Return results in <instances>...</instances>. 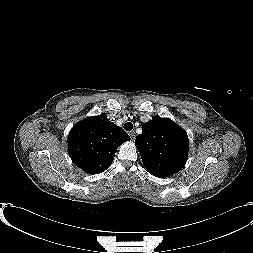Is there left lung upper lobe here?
<instances>
[{
    "label": "left lung upper lobe",
    "mask_w": 253,
    "mask_h": 253,
    "mask_svg": "<svg viewBox=\"0 0 253 253\" xmlns=\"http://www.w3.org/2000/svg\"><path fill=\"white\" fill-rule=\"evenodd\" d=\"M142 130L135 145L147 171L159 178L180 171L188 155L186 132L170 119L159 116L144 123Z\"/></svg>",
    "instance_id": "left-lung-upper-lobe-1"
}]
</instances>
